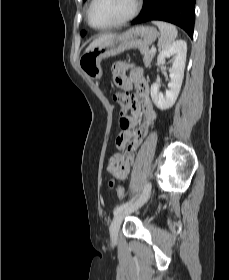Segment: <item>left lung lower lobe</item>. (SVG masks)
I'll list each match as a JSON object with an SVG mask.
<instances>
[{
	"label": "left lung lower lobe",
	"instance_id": "left-lung-lower-lobe-1",
	"mask_svg": "<svg viewBox=\"0 0 229 280\" xmlns=\"http://www.w3.org/2000/svg\"><path fill=\"white\" fill-rule=\"evenodd\" d=\"M196 0H144L141 14L132 24L150 20L173 23L187 32L192 38L195 21Z\"/></svg>",
	"mask_w": 229,
	"mask_h": 280
}]
</instances>
